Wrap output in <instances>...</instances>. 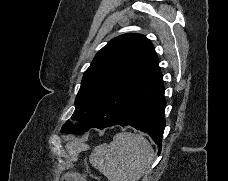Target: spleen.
<instances>
[{
	"label": "spleen",
	"mask_w": 228,
	"mask_h": 181,
	"mask_svg": "<svg viewBox=\"0 0 228 181\" xmlns=\"http://www.w3.org/2000/svg\"><path fill=\"white\" fill-rule=\"evenodd\" d=\"M153 157L147 139L135 133H117L110 145L95 147L90 163L108 181H139L150 169Z\"/></svg>",
	"instance_id": "obj_1"
}]
</instances>
